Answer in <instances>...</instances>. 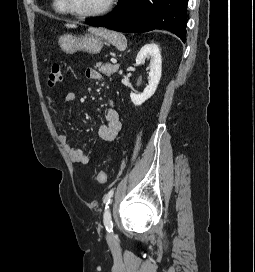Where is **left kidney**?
Wrapping results in <instances>:
<instances>
[{
    "label": "left kidney",
    "mask_w": 255,
    "mask_h": 272,
    "mask_svg": "<svg viewBox=\"0 0 255 272\" xmlns=\"http://www.w3.org/2000/svg\"><path fill=\"white\" fill-rule=\"evenodd\" d=\"M150 59V72L148 85L144 89L143 93L135 94L131 93L130 98L134 105L139 106L143 104L146 100L152 97L157 89L161 78L162 72V60L160 49L157 44L150 43L144 45L136 57V64L141 65L144 63L145 59Z\"/></svg>",
    "instance_id": "5707ae66"
}]
</instances>
